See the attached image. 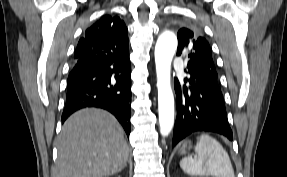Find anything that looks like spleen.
Wrapping results in <instances>:
<instances>
[{
  "label": "spleen",
  "instance_id": "3e777b00",
  "mask_svg": "<svg viewBox=\"0 0 287 177\" xmlns=\"http://www.w3.org/2000/svg\"><path fill=\"white\" fill-rule=\"evenodd\" d=\"M197 156L183 158L182 170L191 176L235 177L228 153L222 145L209 135L197 137Z\"/></svg>",
  "mask_w": 287,
  "mask_h": 177
}]
</instances>
